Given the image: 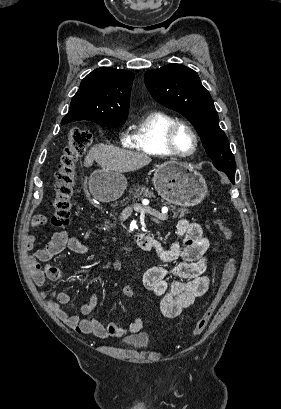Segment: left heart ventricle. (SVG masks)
<instances>
[{"instance_id":"left-heart-ventricle-1","label":"left heart ventricle","mask_w":281,"mask_h":409,"mask_svg":"<svg viewBox=\"0 0 281 409\" xmlns=\"http://www.w3.org/2000/svg\"><path fill=\"white\" fill-rule=\"evenodd\" d=\"M178 144L183 152H189L192 149V138L187 131H182L178 136Z\"/></svg>"}]
</instances>
